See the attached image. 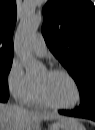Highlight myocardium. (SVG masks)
<instances>
[{"mask_svg": "<svg viewBox=\"0 0 95 130\" xmlns=\"http://www.w3.org/2000/svg\"><path fill=\"white\" fill-rule=\"evenodd\" d=\"M47 72L52 75L62 74L64 76H66L68 79H70V81L74 84V86L76 88L77 100L73 105H70V106H62V105L55 104L46 96L43 88L38 83H36L37 92H38V95H39V98L41 99V101L48 107H51L54 109H60V110H72V109H75L77 106H79V104L81 103V100H82V91H81V87H80L78 81L69 72H67L64 69L51 68V69H48Z\"/></svg>", "mask_w": 95, "mask_h": 130, "instance_id": "myocardium-1", "label": "myocardium"}]
</instances>
